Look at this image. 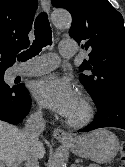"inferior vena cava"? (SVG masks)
<instances>
[{
  "mask_svg": "<svg viewBox=\"0 0 125 167\" xmlns=\"http://www.w3.org/2000/svg\"><path fill=\"white\" fill-rule=\"evenodd\" d=\"M44 128L45 121L43 119L41 110L31 114L27 118L25 127L22 131L27 144L31 146L25 160L26 167H39L38 156L34 146L38 142V138Z\"/></svg>",
  "mask_w": 125,
  "mask_h": 167,
  "instance_id": "obj_1",
  "label": "inferior vena cava"
}]
</instances>
